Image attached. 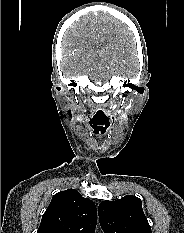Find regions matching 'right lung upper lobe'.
<instances>
[{
  "label": "right lung upper lobe",
  "mask_w": 184,
  "mask_h": 233,
  "mask_svg": "<svg viewBox=\"0 0 184 233\" xmlns=\"http://www.w3.org/2000/svg\"><path fill=\"white\" fill-rule=\"evenodd\" d=\"M97 210L93 201L74 190L55 194L37 233H94Z\"/></svg>",
  "instance_id": "obj_1"
}]
</instances>
